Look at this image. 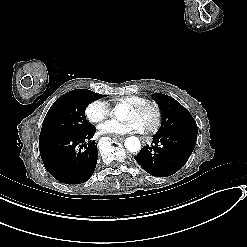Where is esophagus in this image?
Wrapping results in <instances>:
<instances>
[{
	"mask_svg": "<svg viewBox=\"0 0 247 247\" xmlns=\"http://www.w3.org/2000/svg\"><path fill=\"white\" fill-rule=\"evenodd\" d=\"M139 142H141L143 145H145L146 143L144 142L143 138L139 139Z\"/></svg>",
	"mask_w": 247,
	"mask_h": 247,
	"instance_id": "34e87169",
	"label": "esophagus"
}]
</instances>
